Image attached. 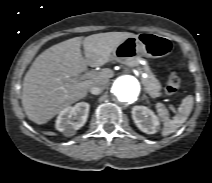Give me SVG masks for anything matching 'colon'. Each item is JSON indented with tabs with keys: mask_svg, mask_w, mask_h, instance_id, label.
<instances>
[{
	"mask_svg": "<svg viewBox=\"0 0 212 183\" xmlns=\"http://www.w3.org/2000/svg\"><path fill=\"white\" fill-rule=\"evenodd\" d=\"M181 79L175 70H170L167 78L165 92L167 95L175 94L180 87Z\"/></svg>",
	"mask_w": 212,
	"mask_h": 183,
	"instance_id": "obj_1",
	"label": "colon"
}]
</instances>
